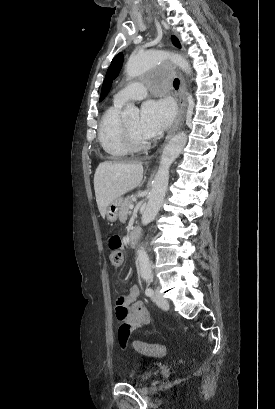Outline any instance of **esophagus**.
I'll return each instance as SVG.
<instances>
[{
  "mask_svg": "<svg viewBox=\"0 0 275 409\" xmlns=\"http://www.w3.org/2000/svg\"><path fill=\"white\" fill-rule=\"evenodd\" d=\"M186 102H187L186 83H185L184 77L182 75H180V89H179V101H178L179 112H178V116H177V119L175 120L172 128L168 132L163 144L159 148V150H158L159 152L162 151V149L165 147L167 142L171 139V137H173V135L175 134V132L178 130L181 123L183 122L184 117H185V112H186Z\"/></svg>",
  "mask_w": 275,
  "mask_h": 409,
  "instance_id": "obj_1",
  "label": "esophagus"
}]
</instances>
